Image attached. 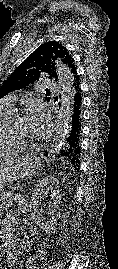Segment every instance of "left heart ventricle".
<instances>
[{"label": "left heart ventricle", "instance_id": "obj_1", "mask_svg": "<svg viewBox=\"0 0 118 269\" xmlns=\"http://www.w3.org/2000/svg\"><path fill=\"white\" fill-rule=\"evenodd\" d=\"M15 134L19 137L26 139L27 141H33L34 136L31 133L30 125L25 116L20 117L13 126Z\"/></svg>", "mask_w": 118, "mask_h": 269}]
</instances>
